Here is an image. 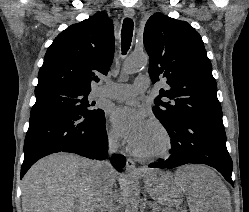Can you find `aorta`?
Here are the masks:
<instances>
[{
	"label": "aorta",
	"mask_w": 249,
	"mask_h": 212,
	"mask_svg": "<svg viewBox=\"0 0 249 212\" xmlns=\"http://www.w3.org/2000/svg\"><path fill=\"white\" fill-rule=\"evenodd\" d=\"M148 63V57L145 54L134 53L130 55L124 63L123 73L134 74ZM140 199L139 183L136 178H133L128 185L126 194L125 212H138Z\"/></svg>",
	"instance_id": "762f6f07"
}]
</instances>
